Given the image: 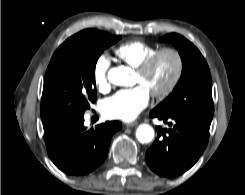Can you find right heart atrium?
Masks as SVG:
<instances>
[{"mask_svg": "<svg viewBox=\"0 0 245 195\" xmlns=\"http://www.w3.org/2000/svg\"><path fill=\"white\" fill-rule=\"evenodd\" d=\"M110 60L105 54H101L95 61L92 69L93 82L96 89L100 92H106L110 88L108 81V70Z\"/></svg>", "mask_w": 245, "mask_h": 195, "instance_id": "d8ad5b80", "label": "right heart atrium"}]
</instances>
